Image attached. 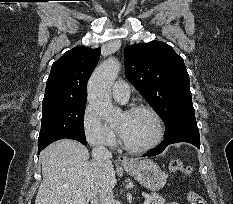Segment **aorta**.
<instances>
[{
    "instance_id": "obj_1",
    "label": "aorta",
    "mask_w": 233,
    "mask_h": 204,
    "mask_svg": "<svg viewBox=\"0 0 233 204\" xmlns=\"http://www.w3.org/2000/svg\"><path fill=\"white\" fill-rule=\"evenodd\" d=\"M119 71V61L109 58L94 70L88 82V101L99 117L108 123L120 115V109L111 102V87Z\"/></svg>"
}]
</instances>
